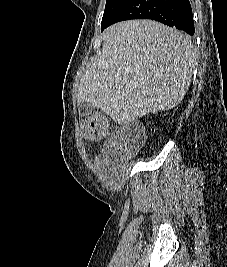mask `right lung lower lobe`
Masks as SVG:
<instances>
[{
  "label": "right lung lower lobe",
  "mask_w": 227,
  "mask_h": 267,
  "mask_svg": "<svg viewBox=\"0 0 227 267\" xmlns=\"http://www.w3.org/2000/svg\"><path fill=\"white\" fill-rule=\"evenodd\" d=\"M130 19L155 20L190 35L195 31L189 0H127L101 31L116 22Z\"/></svg>",
  "instance_id": "right-lung-lower-lobe-1"
}]
</instances>
